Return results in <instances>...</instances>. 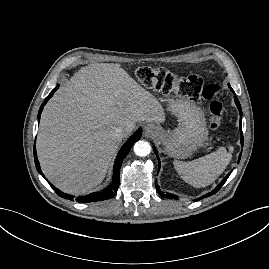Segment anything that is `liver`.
Here are the masks:
<instances>
[{
  "label": "liver",
  "mask_w": 269,
  "mask_h": 269,
  "mask_svg": "<svg viewBox=\"0 0 269 269\" xmlns=\"http://www.w3.org/2000/svg\"><path fill=\"white\" fill-rule=\"evenodd\" d=\"M162 123V105L120 64H90L59 88L45 106L37 153L46 177L60 190L78 194L99 185L122 138L137 122Z\"/></svg>",
  "instance_id": "liver-1"
}]
</instances>
